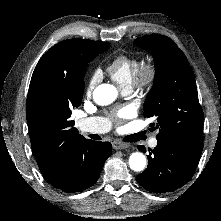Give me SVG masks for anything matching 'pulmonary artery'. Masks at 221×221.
<instances>
[{
  "instance_id": "pulmonary-artery-1",
  "label": "pulmonary artery",
  "mask_w": 221,
  "mask_h": 221,
  "mask_svg": "<svg viewBox=\"0 0 221 221\" xmlns=\"http://www.w3.org/2000/svg\"><path fill=\"white\" fill-rule=\"evenodd\" d=\"M125 93L130 92V88L124 89ZM78 126L82 132H89V133H105L107 132L111 125L110 123L101 117H89L84 118L78 121ZM158 144V140L156 138H152L150 140V146L156 147Z\"/></svg>"
}]
</instances>
